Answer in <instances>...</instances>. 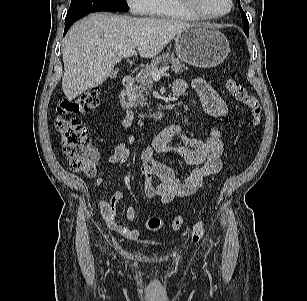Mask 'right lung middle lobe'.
Returning <instances> with one entry per match:
<instances>
[{"label":"right lung middle lobe","mask_w":307,"mask_h":301,"mask_svg":"<svg viewBox=\"0 0 307 301\" xmlns=\"http://www.w3.org/2000/svg\"><path fill=\"white\" fill-rule=\"evenodd\" d=\"M125 0H71L65 21L97 11H128Z\"/></svg>","instance_id":"right-lung-middle-lobe-1"}]
</instances>
